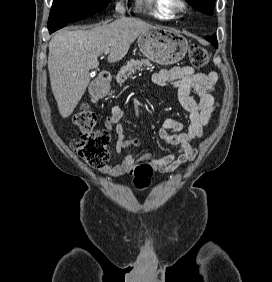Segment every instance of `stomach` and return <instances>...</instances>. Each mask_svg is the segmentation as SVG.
I'll return each mask as SVG.
<instances>
[{
    "label": "stomach",
    "instance_id": "stomach-1",
    "mask_svg": "<svg viewBox=\"0 0 272 282\" xmlns=\"http://www.w3.org/2000/svg\"><path fill=\"white\" fill-rule=\"evenodd\" d=\"M137 42L144 56L161 65L179 62L188 50V41L184 36L161 26L142 33Z\"/></svg>",
    "mask_w": 272,
    "mask_h": 282
}]
</instances>
